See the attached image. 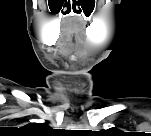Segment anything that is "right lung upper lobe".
Here are the masks:
<instances>
[{
	"label": "right lung upper lobe",
	"mask_w": 151,
	"mask_h": 136,
	"mask_svg": "<svg viewBox=\"0 0 151 136\" xmlns=\"http://www.w3.org/2000/svg\"><path fill=\"white\" fill-rule=\"evenodd\" d=\"M48 127L49 126L47 125V123H42V124L31 123V124L24 126V129H22V130L27 131V132H33L36 134H43L46 131H48Z\"/></svg>",
	"instance_id": "cb5924a9"
}]
</instances>
